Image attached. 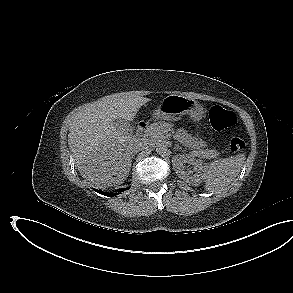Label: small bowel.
Listing matches in <instances>:
<instances>
[{
  "instance_id": "c3829d8e",
  "label": "small bowel",
  "mask_w": 293,
  "mask_h": 293,
  "mask_svg": "<svg viewBox=\"0 0 293 293\" xmlns=\"http://www.w3.org/2000/svg\"><path fill=\"white\" fill-rule=\"evenodd\" d=\"M201 144H202L201 142H197V143H196V145H201Z\"/></svg>"
}]
</instances>
